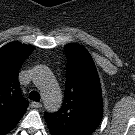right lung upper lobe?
Wrapping results in <instances>:
<instances>
[{"mask_svg":"<svg viewBox=\"0 0 135 135\" xmlns=\"http://www.w3.org/2000/svg\"><path fill=\"white\" fill-rule=\"evenodd\" d=\"M33 49L19 42L0 48V135L12 130L26 112L28 102L20 91L18 71Z\"/></svg>","mask_w":135,"mask_h":135,"instance_id":"obj_1","label":"right lung upper lobe"}]
</instances>
